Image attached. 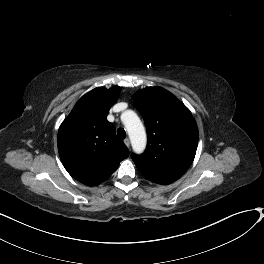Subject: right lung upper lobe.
<instances>
[{"label": "right lung upper lobe", "instance_id": "cb5924a9", "mask_svg": "<svg viewBox=\"0 0 264 264\" xmlns=\"http://www.w3.org/2000/svg\"><path fill=\"white\" fill-rule=\"evenodd\" d=\"M120 91L119 86L93 89L79 99L60 125V159L67 172L85 185L105 181L129 155L128 148L116 137L115 127L107 121Z\"/></svg>", "mask_w": 264, "mask_h": 264}]
</instances>
